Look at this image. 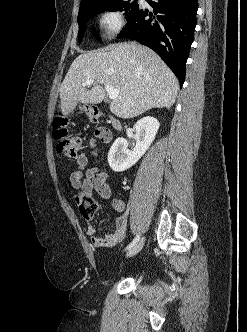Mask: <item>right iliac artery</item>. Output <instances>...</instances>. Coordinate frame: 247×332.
Instances as JSON below:
<instances>
[{
	"label": "right iliac artery",
	"instance_id": "right-iliac-artery-1",
	"mask_svg": "<svg viewBox=\"0 0 247 332\" xmlns=\"http://www.w3.org/2000/svg\"><path fill=\"white\" fill-rule=\"evenodd\" d=\"M140 239V235L138 234L133 241L127 246L126 250L132 248L134 245H136V243L139 241Z\"/></svg>",
	"mask_w": 247,
	"mask_h": 332
}]
</instances>
